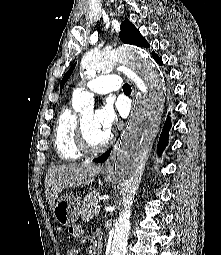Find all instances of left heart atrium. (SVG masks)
Masks as SVG:
<instances>
[{
  "label": "left heart atrium",
  "mask_w": 221,
  "mask_h": 255,
  "mask_svg": "<svg viewBox=\"0 0 221 255\" xmlns=\"http://www.w3.org/2000/svg\"><path fill=\"white\" fill-rule=\"evenodd\" d=\"M96 123L108 134L111 133L117 121V115L110 104H105L95 113Z\"/></svg>",
  "instance_id": "39dd6f15"
}]
</instances>
